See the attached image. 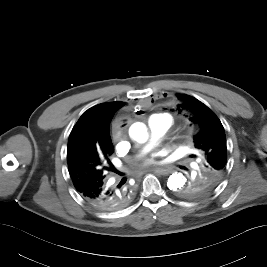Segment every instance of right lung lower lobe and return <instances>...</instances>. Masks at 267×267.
Returning a JSON list of instances; mask_svg holds the SVG:
<instances>
[{
  "label": "right lung lower lobe",
  "mask_w": 267,
  "mask_h": 267,
  "mask_svg": "<svg viewBox=\"0 0 267 267\" xmlns=\"http://www.w3.org/2000/svg\"><path fill=\"white\" fill-rule=\"evenodd\" d=\"M81 196L95 208L115 211L126 206L133 194L129 188L107 185V180L99 179L75 187Z\"/></svg>",
  "instance_id": "1"
}]
</instances>
